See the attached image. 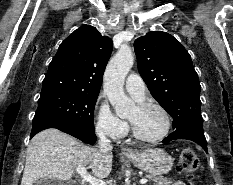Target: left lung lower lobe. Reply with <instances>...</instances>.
I'll use <instances>...</instances> for the list:
<instances>
[{
    "label": "left lung lower lobe",
    "mask_w": 233,
    "mask_h": 185,
    "mask_svg": "<svg viewBox=\"0 0 233 185\" xmlns=\"http://www.w3.org/2000/svg\"><path fill=\"white\" fill-rule=\"evenodd\" d=\"M176 139L192 140L199 144L207 153V144L202 127V121L192 122L180 129H177L164 139L163 142L165 143Z\"/></svg>",
    "instance_id": "1"
}]
</instances>
